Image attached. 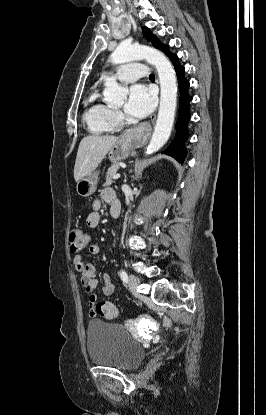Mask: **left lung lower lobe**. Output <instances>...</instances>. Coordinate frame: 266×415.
<instances>
[{"instance_id": "obj_1", "label": "left lung lower lobe", "mask_w": 266, "mask_h": 415, "mask_svg": "<svg viewBox=\"0 0 266 415\" xmlns=\"http://www.w3.org/2000/svg\"><path fill=\"white\" fill-rule=\"evenodd\" d=\"M174 65L178 77L180 102L179 115L175 125L176 135L171 144L163 153L174 157L177 161L182 162L186 155L184 143L188 139V122L190 120V102L192 97L188 94L189 81L185 78V68L178 61V56L172 54L168 56Z\"/></svg>"}]
</instances>
